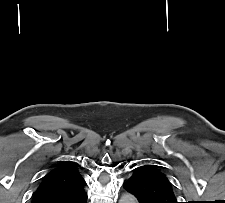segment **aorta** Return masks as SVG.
<instances>
[{
    "mask_svg": "<svg viewBox=\"0 0 225 203\" xmlns=\"http://www.w3.org/2000/svg\"><path fill=\"white\" fill-rule=\"evenodd\" d=\"M119 203H136V199L131 194H124L120 200Z\"/></svg>",
    "mask_w": 225,
    "mask_h": 203,
    "instance_id": "762f6f07",
    "label": "aorta"
}]
</instances>
